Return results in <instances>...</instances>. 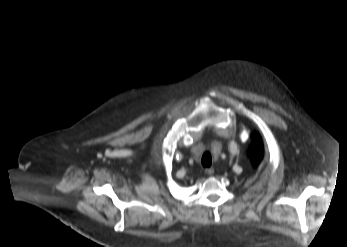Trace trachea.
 Segmentation results:
<instances>
[{"instance_id": "trachea-1", "label": "trachea", "mask_w": 347, "mask_h": 247, "mask_svg": "<svg viewBox=\"0 0 347 247\" xmlns=\"http://www.w3.org/2000/svg\"><path fill=\"white\" fill-rule=\"evenodd\" d=\"M212 163L211 155L206 152L202 156V164L204 167H210Z\"/></svg>"}]
</instances>
